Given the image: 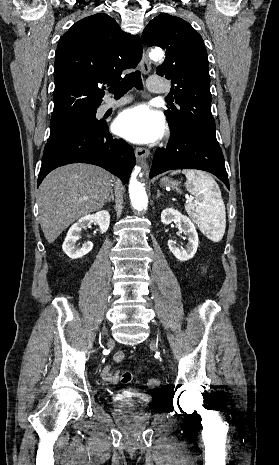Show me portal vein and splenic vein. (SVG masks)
I'll return each instance as SVG.
<instances>
[{
    "label": "portal vein and splenic vein",
    "mask_w": 279,
    "mask_h": 465,
    "mask_svg": "<svg viewBox=\"0 0 279 465\" xmlns=\"http://www.w3.org/2000/svg\"><path fill=\"white\" fill-rule=\"evenodd\" d=\"M187 198H188V200H189V201H191V200H192V198H189V197H187Z\"/></svg>",
    "instance_id": "portal-vein-and-splenic-vein-1"
}]
</instances>
